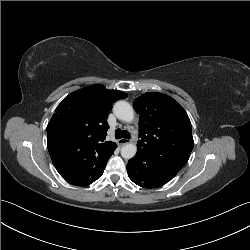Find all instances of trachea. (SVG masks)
<instances>
[{"label":"trachea","instance_id":"3493384b","mask_svg":"<svg viewBox=\"0 0 250 250\" xmlns=\"http://www.w3.org/2000/svg\"><path fill=\"white\" fill-rule=\"evenodd\" d=\"M115 138L116 139H120V138L129 139L130 138V133L128 131H126V130L116 129Z\"/></svg>","mask_w":250,"mask_h":250}]
</instances>
